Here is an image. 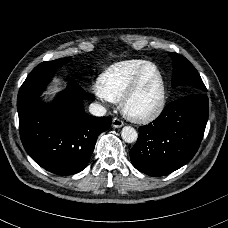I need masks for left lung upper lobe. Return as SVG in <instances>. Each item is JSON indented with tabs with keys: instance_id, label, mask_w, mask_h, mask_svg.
Segmentation results:
<instances>
[{
	"instance_id": "1",
	"label": "left lung upper lobe",
	"mask_w": 228,
	"mask_h": 228,
	"mask_svg": "<svg viewBox=\"0 0 228 228\" xmlns=\"http://www.w3.org/2000/svg\"><path fill=\"white\" fill-rule=\"evenodd\" d=\"M169 55L173 60L172 87L185 86L192 94L205 93L207 89L194 66L182 55Z\"/></svg>"
}]
</instances>
